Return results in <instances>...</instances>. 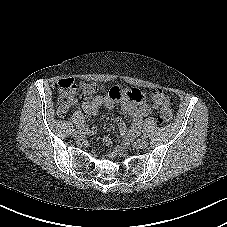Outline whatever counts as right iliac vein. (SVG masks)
I'll use <instances>...</instances> for the list:
<instances>
[{"instance_id": "1", "label": "right iliac vein", "mask_w": 227, "mask_h": 227, "mask_svg": "<svg viewBox=\"0 0 227 227\" xmlns=\"http://www.w3.org/2000/svg\"><path fill=\"white\" fill-rule=\"evenodd\" d=\"M84 136H85V133H84L83 131H81V130L76 131V132L74 133V137L77 138V139H81V138H83Z\"/></svg>"}]
</instances>
